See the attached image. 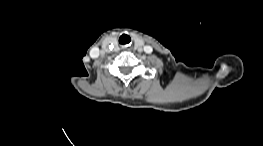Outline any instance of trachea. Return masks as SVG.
Here are the masks:
<instances>
[{
    "label": "trachea",
    "instance_id": "3493384b",
    "mask_svg": "<svg viewBox=\"0 0 263 146\" xmlns=\"http://www.w3.org/2000/svg\"><path fill=\"white\" fill-rule=\"evenodd\" d=\"M121 38H129V37L124 34V35H122V36L120 37V39H121Z\"/></svg>",
    "mask_w": 263,
    "mask_h": 146
}]
</instances>
